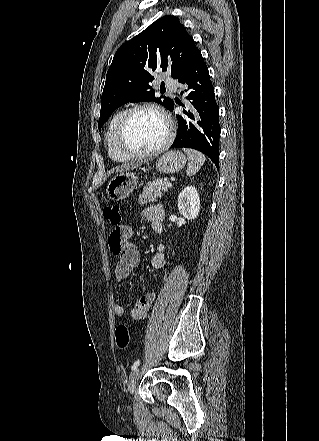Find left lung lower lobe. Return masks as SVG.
<instances>
[{
    "instance_id": "obj_1",
    "label": "left lung lower lobe",
    "mask_w": 319,
    "mask_h": 441,
    "mask_svg": "<svg viewBox=\"0 0 319 441\" xmlns=\"http://www.w3.org/2000/svg\"><path fill=\"white\" fill-rule=\"evenodd\" d=\"M187 93L185 116L177 115L178 132L171 148H193L207 155L219 167V107L209 71L201 53L177 79ZM174 102L169 109L173 111Z\"/></svg>"
}]
</instances>
